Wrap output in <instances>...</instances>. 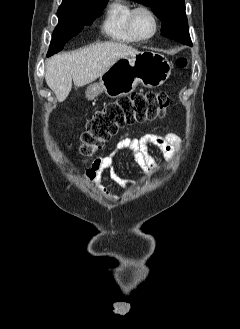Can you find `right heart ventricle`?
Here are the masks:
<instances>
[{
  "label": "right heart ventricle",
  "instance_id": "1",
  "mask_svg": "<svg viewBox=\"0 0 240 329\" xmlns=\"http://www.w3.org/2000/svg\"><path fill=\"white\" fill-rule=\"evenodd\" d=\"M134 8L135 6L129 0H113L102 24L103 31L115 41H136L137 39L129 29V17Z\"/></svg>",
  "mask_w": 240,
  "mask_h": 329
}]
</instances>
